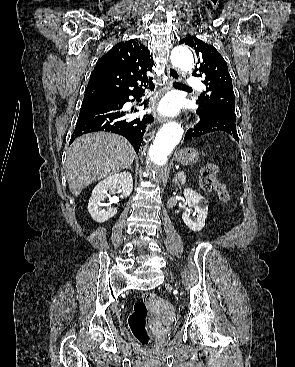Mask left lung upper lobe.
<instances>
[{"instance_id": "1", "label": "left lung upper lobe", "mask_w": 295, "mask_h": 367, "mask_svg": "<svg viewBox=\"0 0 295 367\" xmlns=\"http://www.w3.org/2000/svg\"><path fill=\"white\" fill-rule=\"evenodd\" d=\"M179 44L189 45L197 54L198 67H195L193 76L204 79L208 93L198 98L199 107L207 111L227 110L234 113L235 95L232 79L226 61L216 48L190 35L181 39Z\"/></svg>"}]
</instances>
